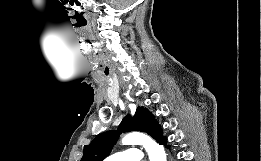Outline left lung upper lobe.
<instances>
[{
	"label": "left lung upper lobe",
	"instance_id": "1",
	"mask_svg": "<svg viewBox=\"0 0 261 161\" xmlns=\"http://www.w3.org/2000/svg\"><path fill=\"white\" fill-rule=\"evenodd\" d=\"M125 131L146 132L157 142L164 138L154 116L147 109L138 107L134 117L127 115L117 131L101 133L89 145H85L81 161H102L110 154L121 132Z\"/></svg>",
	"mask_w": 261,
	"mask_h": 161
}]
</instances>
